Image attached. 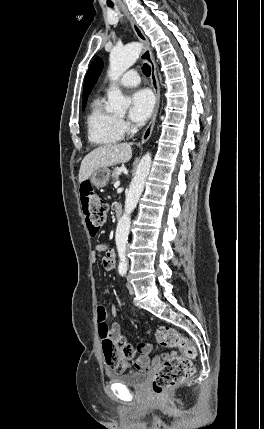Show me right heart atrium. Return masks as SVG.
Returning <instances> with one entry per match:
<instances>
[{
	"label": "right heart atrium",
	"mask_w": 264,
	"mask_h": 429,
	"mask_svg": "<svg viewBox=\"0 0 264 429\" xmlns=\"http://www.w3.org/2000/svg\"><path fill=\"white\" fill-rule=\"evenodd\" d=\"M120 123L124 131L128 130V124L125 121H120Z\"/></svg>",
	"instance_id": "d8ad5b80"
}]
</instances>
